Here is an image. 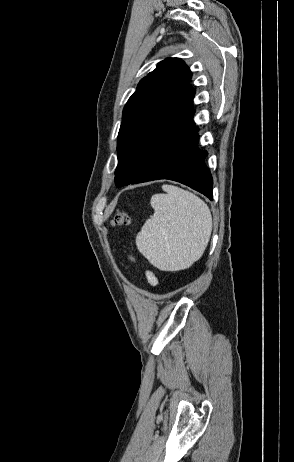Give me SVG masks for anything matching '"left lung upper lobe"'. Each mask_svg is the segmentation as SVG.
I'll return each instance as SVG.
<instances>
[{"mask_svg":"<svg viewBox=\"0 0 294 462\" xmlns=\"http://www.w3.org/2000/svg\"><path fill=\"white\" fill-rule=\"evenodd\" d=\"M192 73L179 58H166L144 77L123 109L122 124L117 140L118 173L128 151L145 121L158 105H168L180 98Z\"/></svg>","mask_w":294,"mask_h":462,"instance_id":"5c2ea615","label":"left lung upper lobe"}]
</instances>
